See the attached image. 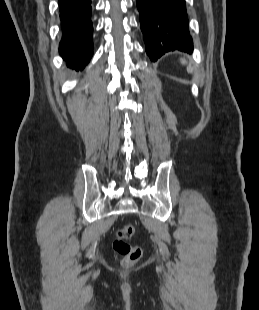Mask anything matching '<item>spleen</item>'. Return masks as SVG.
<instances>
[{
  "mask_svg": "<svg viewBox=\"0 0 259 310\" xmlns=\"http://www.w3.org/2000/svg\"><path fill=\"white\" fill-rule=\"evenodd\" d=\"M181 63L183 64V65H187V69H188V71H192V68H191V66L190 65H188V62L185 60V59H181Z\"/></svg>",
  "mask_w": 259,
  "mask_h": 310,
  "instance_id": "3e777b00",
  "label": "spleen"
}]
</instances>
